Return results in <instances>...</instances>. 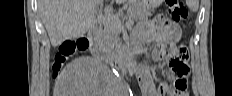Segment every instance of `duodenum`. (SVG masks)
I'll return each mask as SVG.
<instances>
[{"label": "duodenum", "mask_w": 232, "mask_h": 96, "mask_svg": "<svg viewBox=\"0 0 232 96\" xmlns=\"http://www.w3.org/2000/svg\"><path fill=\"white\" fill-rule=\"evenodd\" d=\"M100 34L99 25H94L87 33L92 56L99 61H108L116 69L124 74H130L137 69V63L132 52L124 47H119L117 53L112 57L105 52L97 43Z\"/></svg>", "instance_id": "obj_1"}]
</instances>
